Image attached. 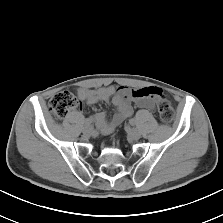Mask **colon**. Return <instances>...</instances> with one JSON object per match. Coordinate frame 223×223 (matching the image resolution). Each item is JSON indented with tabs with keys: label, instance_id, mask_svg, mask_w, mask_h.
Here are the masks:
<instances>
[{
	"label": "colon",
	"instance_id": "colon-1",
	"mask_svg": "<svg viewBox=\"0 0 223 223\" xmlns=\"http://www.w3.org/2000/svg\"><path fill=\"white\" fill-rule=\"evenodd\" d=\"M152 94L159 96L157 100V115L162 123L170 124L175 116L174 110L170 102L160 96V91L158 89H153ZM78 99L68 91H62L56 93L49 101V111L51 114L57 118H64L67 113L78 106Z\"/></svg>",
	"mask_w": 223,
	"mask_h": 223
}]
</instances>
